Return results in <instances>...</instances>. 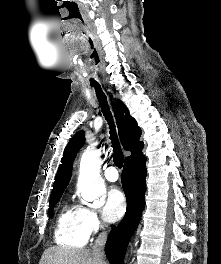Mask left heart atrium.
Instances as JSON below:
<instances>
[{
  "instance_id": "obj_1",
  "label": "left heart atrium",
  "mask_w": 221,
  "mask_h": 264,
  "mask_svg": "<svg viewBox=\"0 0 221 264\" xmlns=\"http://www.w3.org/2000/svg\"><path fill=\"white\" fill-rule=\"evenodd\" d=\"M126 211V199L123 192L114 187L111 188L107 195L102 210L103 218L108 222L119 220Z\"/></svg>"
}]
</instances>
